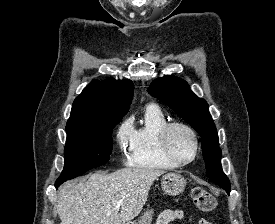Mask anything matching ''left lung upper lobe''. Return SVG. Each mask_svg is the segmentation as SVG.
I'll list each match as a JSON object with an SVG mask.
<instances>
[{"label": "left lung upper lobe", "mask_w": 275, "mask_h": 224, "mask_svg": "<svg viewBox=\"0 0 275 224\" xmlns=\"http://www.w3.org/2000/svg\"><path fill=\"white\" fill-rule=\"evenodd\" d=\"M148 92L173 109L199 133L204 141L202 152L207 176L223 189L230 187L229 179L222 171V152L207 102L198 98L184 80L174 76L155 79Z\"/></svg>", "instance_id": "obj_1"}]
</instances>
